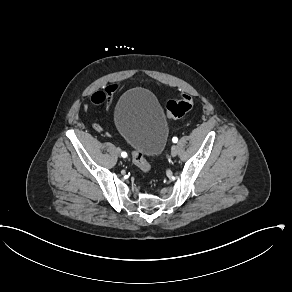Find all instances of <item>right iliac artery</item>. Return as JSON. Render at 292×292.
Here are the masks:
<instances>
[{
	"mask_svg": "<svg viewBox=\"0 0 292 292\" xmlns=\"http://www.w3.org/2000/svg\"><path fill=\"white\" fill-rule=\"evenodd\" d=\"M121 156H122L123 158H125V157H127V153H126V152H122V153H121Z\"/></svg>",
	"mask_w": 292,
	"mask_h": 292,
	"instance_id": "obj_1",
	"label": "right iliac artery"
}]
</instances>
